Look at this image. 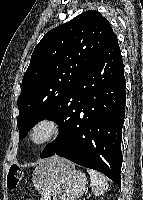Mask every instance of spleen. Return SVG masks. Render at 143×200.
Masks as SVG:
<instances>
[{"label":"spleen","mask_w":143,"mask_h":200,"mask_svg":"<svg viewBox=\"0 0 143 200\" xmlns=\"http://www.w3.org/2000/svg\"><path fill=\"white\" fill-rule=\"evenodd\" d=\"M91 180V189L95 196H100L108 190V182L104 175L93 169H87Z\"/></svg>","instance_id":"1"}]
</instances>
